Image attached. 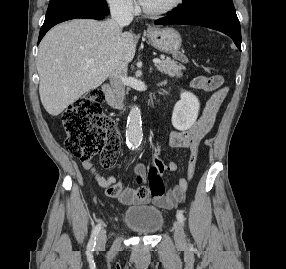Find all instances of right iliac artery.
Masks as SVG:
<instances>
[{
    "mask_svg": "<svg viewBox=\"0 0 286 269\" xmlns=\"http://www.w3.org/2000/svg\"><path fill=\"white\" fill-rule=\"evenodd\" d=\"M100 229H101V225L100 224H97L93 231H92V234H91V237H90V240H89V243H88V246H87V249L88 250H91L93 251L95 245H96V240H97V237H98V234L100 232Z\"/></svg>",
    "mask_w": 286,
    "mask_h": 269,
    "instance_id": "obj_1",
    "label": "right iliac artery"
}]
</instances>
